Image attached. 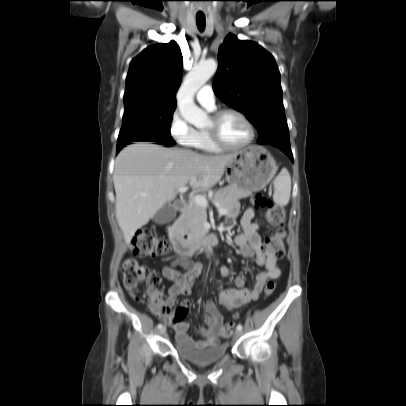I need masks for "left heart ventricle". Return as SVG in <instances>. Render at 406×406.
Here are the masks:
<instances>
[{
	"instance_id": "left-heart-ventricle-1",
	"label": "left heart ventricle",
	"mask_w": 406,
	"mask_h": 406,
	"mask_svg": "<svg viewBox=\"0 0 406 406\" xmlns=\"http://www.w3.org/2000/svg\"><path fill=\"white\" fill-rule=\"evenodd\" d=\"M212 119H209L206 128H211ZM218 131L222 140L230 145H240L244 143L248 136L249 130L246 124L235 114H225L218 122Z\"/></svg>"
}]
</instances>
